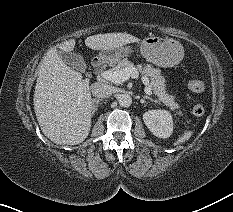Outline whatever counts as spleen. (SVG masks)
Listing matches in <instances>:
<instances>
[{
  "instance_id": "spleen-1",
  "label": "spleen",
  "mask_w": 233,
  "mask_h": 212,
  "mask_svg": "<svg viewBox=\"0 0 233 212\" xmlns=\"http://www.w3.org/2000/svg\"><path fill=\"white\" fill-rule=\"evenodd\" d=\"M193 131L190 130H186L184 131V133L182 134V136H180L174 143L175 146L184 143L185 141L189 140L190 137L192 136Z\"/></svg>"
}]
</instances>
